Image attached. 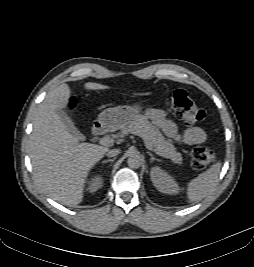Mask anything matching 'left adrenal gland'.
Here are the masks:
<instances>
[{
    "label": "left adrenal gland",
    "instance_id": "1",
    "mask_svg": "<svg viewBox=\"0 0 254 267\" xmlns=\"http://www.w3.org/2000/svg\"><path fill=\"white\" fill-rule=\"evenodd\" d=\"M148 153V155L151 157V160H150V162L152 163L153 161H160L158 158H156L152 153H150V152H147Z\"/></svg>",
    "mask_w": 254,
    "mask_h": 267
}]
</instances>
